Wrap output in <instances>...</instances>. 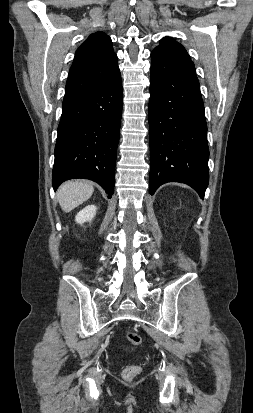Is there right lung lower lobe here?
<instances>
[{
  "label": "right lung lower lobe",
  "mask_w": 253,
  "mask_h": 413,
  "mask_svg": "<svg viewBox=\"0 0 253 413\" xmlns=\"http://www.w3.org/2000/svg\"><path fill=\"white\" fill-rule=\"evenodd\" d=\"M118 69L103 85L62 104L52 174L54 190L69 179L97 182L111 197L122 113Z\"/></svg>",
  "instance_id": "obj_1"
}]
</instances>
